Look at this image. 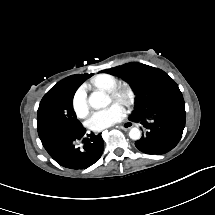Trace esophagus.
Returning a JSON list of instances; mask_svg holds the SVG:
<instances>
[{"mask_svg":"<svg viewBox=\"0 0 215 215\" xmlns=\"http://www.w3.org/2000/svg\"><path fill=\"white\" fill-rule=\"evenodd\" d=\"M133 126H134V123H133V122H131V121H126V122H124V123L120 126V128H121L122 130L127 131V130H129L130 128H132Z\"/></svg>","mask_w":215,"mask_h":215,"instance_id":"34e87169","label":"esophagus"}]
</instances>
